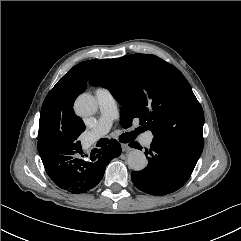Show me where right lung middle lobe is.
Returning <instances> with one entry per match:
<instances>
[{
    "mask_svg": "<svg viewBox=\"0 0 241 241\" xmlns=\"http://www.w3.org/2000/svg\"><path fill=\"white\" fill-rule=\"evenodd\" d=\"M76 148H78V146L75 144V145H70L69 147H64L63 149H61L60 151H58L57 153H60L61 151H63L64 149H72V150H74V149H76Z\"/></svg>",
    "mask_w": 241,
    "mask_h": 241,
    "instance_id": "dd1d6c3e",
    "label": "right lung middle lobe"
}]
</instances>
